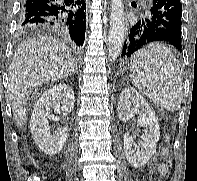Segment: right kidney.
<instances>
[{
    "label": "right kidney",
    "instance_id": "ca27d5eb",
    "mask_svg": "<svg viewBox=\"0 0 197 181\" xmlns=\"http://www.w3.org/2000/svg\"><path fill=\"white\" fill-rule=\"evenodd\" d=\"M74 108V92L66 84L51 86L34 106L31 115L30 129L38 147L48 155H56L63 148L67 139V128L58 126L51 134L48 119L54 118V112L69 113Z\"/></svg>",
    "mask_w": 197,
    "mask_h": 181
}]
</instances>
